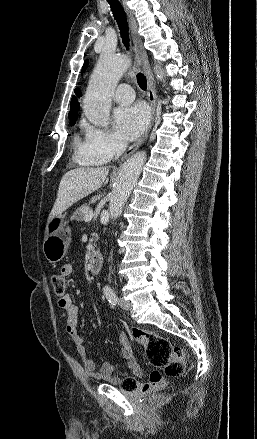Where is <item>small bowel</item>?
<instances>
[{
	"label": "small bowel",
	"instance_id": "obj_1",
	"mask_svg": "<svg viewBox=\"0 0 257 439\" xmlns=\"http://www.w3.org/2000/svg\"><path fill=\"white\" fill-rule=\"evenodd\" d=\"M73 272V265L66 263L61 267V274L64 278L71 275ZM58 306L65 310L66 314V331L73 340L76 351L82 361L85 373L91 378L108 382L112 385L121 384L123 377L132 374L136 377L142 375V370L134 357L128 339L124 333L118 336V347L121 351L122 358L125 362L126 369L116 373L115 366L112 363H104L100 369H96L95 363L89 356L86 350V344L83 338L78 333L79 326V307L76 305L69 295L59 298Z\"/></svg>",
	"mask_w": 257,
	"mask_h": 439
}]
</instances>
